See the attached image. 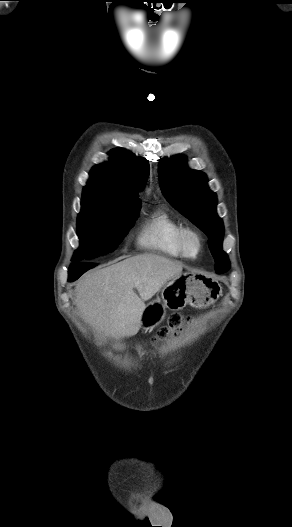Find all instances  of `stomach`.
Instances as JSON below:
<instances>
[{"mask_svg":"<svg viewBox=\"0 0 292 527\" xmlns=\"http://www.w3.org/2000/svg\"><path fill=\"white\" fill-rule=\"evenodd\" d=\"M221 295V286L213 278L200 273L188 272L168 281L162 288L161 298L148 303L143 311L141 327L150 330L161 323L166 308L183 309L187 304L204 308L213 304Z\"/></svg>","mask_w":292,"mask_h":527,"instance_id":"1","label":"stomach"}]
</instances>
